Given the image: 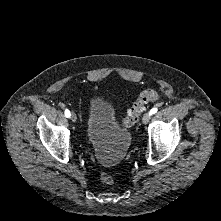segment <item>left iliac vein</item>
Returning <instances> with one entry per match:
<instances>
[{
	"instance_id": "4c4485c4",
	"label": "left iliac vein",
	"mask_w": 221,
	"mask_h": 221,
	"mask_svg": "<svg viewBox=\"0 0 221 221\" xmlns=\"http://www.w3.org/2000/svg\"><path fill=\"white\" fill-rule=\"evenodd\" d=\"M150 117L151 115L149 113L144 114L142 117V123L144 125L148 124V122L150 121Z\"/></svg>"
}]
</instances>
